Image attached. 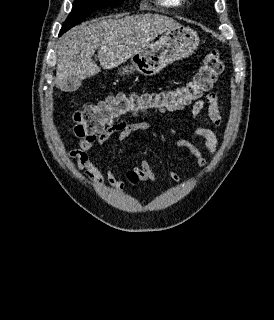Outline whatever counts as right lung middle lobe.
I'll return each instance as SVG.
<instances>
[{"mask_svg":"<svg viewBox=\"0 0 274 320\" xmlns=\"http://www.w3.org/2000/svg\"><path fill=\"white\" fill-rule=\"evenodd\" d=\"M123 1L124 0H75L72 11L63 24L59 36L82 22L92 12L98 9L120 5Z\"/></svg>","mask_w":274,"mask_h":320,"instance_id":"obj_1","label":"right lung middle lobe"}]
</instances>
